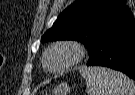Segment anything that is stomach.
Returning a JSON list of instances; mask_svg holds the SVG:
<instances>
[{"label":"stomach","mask_w":135,"mask_h":95,"mask_svg":"<svg viewBox=\"0 0 135 95\" xmlns=\"http://www.w3.org/2000/svg\"><path fill=\"white\" fill-rule=\"evenodd\" d=\"M70 93V87L66 82L58 84L53 90L52 95H68Z\"/></svg>","instance_id":"1"}]
</instances>
